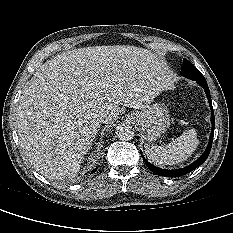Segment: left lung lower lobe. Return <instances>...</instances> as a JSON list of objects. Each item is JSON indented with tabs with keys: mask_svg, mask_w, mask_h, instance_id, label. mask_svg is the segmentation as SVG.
<instances>
[{
	"mask_svg": "<svg viewBox=\"0 0 233 233\" xmlns=\"http://www.w3.org/2000/svg\"><path fill=\"white\" fill-rule=\"evenodd\" d=\"M197 83L204 89L207 98H208V102L210 105V109H211V122H212V129H211V133H210V140L208 143V146L205 150V152L192 164H190L187 167L184 168H180V169H175V170H165V169H161L158 168L154 165H152L151 163H149L144 156L142 155L141 151V156L143 157L147 167L156 175H160V176H165V177H180L183 175H186L187 173L191 172L192 170L196 169L197 167H199L203 162H205V160L207 159V157L210 154L211 151V147H212V141H213V136H214V128H215V117H214V112H213V107H212V101H211V96H210V91H209V87L208 84L206 82V80L204 81H197Z\"/></svg>",
	"mask_w": 233,
	"mask_h": 233,
	"instance_id": "0a47b994",
	"label": "left lung lower lobe"
}]
</instances>
